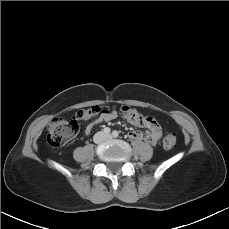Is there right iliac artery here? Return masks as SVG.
I'll list each match as a JSON object with an SVG mask.
<instances>
[{"label": "right iliac artery", "mask_w": 229, "mask_h": 229, "mask_svg": "<svg viewBox=\"0 0 229 229\" xmlns=\"http://www.w3.org/2000/svg\"><path fill=\"white\" fill-rule=\"evenodd\" d=\"M111 132L109 127L104 128V133L105 134H109Z\"/></svg>", "instance_id": "right-iliac-artery-1"}]
</instances>
